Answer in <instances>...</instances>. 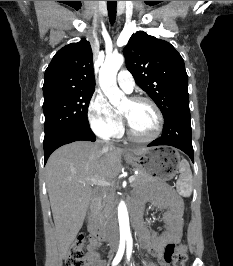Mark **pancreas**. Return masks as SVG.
I'll return each instance as SVG.
<instances>
[{
	"mask_svg": "<svg viewBox=\"0 0 233 266\" xmlns=\"http://www.w3.org/2000/svg\"><path fill=\"white\" fill-rule=\"evenodd\" d=\"M153 181H155V178L152 177V175L140 171L139 174L135 176V180L131 183V186L136 188L138 186L151 183ZM113 201H114V192H111L110 194L103 197L99 205L103 214L107 213L110 206L113 205Z\"/></svg>",
	"mask_w": 233,
	"mask_h": 266,
	"instance_id": "pancreas-1",
	"label": "pancreas"
}]
</instances>
